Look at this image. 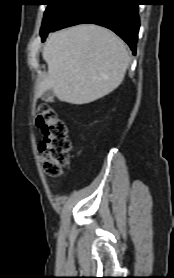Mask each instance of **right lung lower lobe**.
Masks as SVG:
<instances>
[{
    "mask_svg": "<svg viewBox=\"0 0 174 278\" xmlns=\"http://www.w3.org/2000/svg\"><path fill=\"white\" fill-rule=\"evenodd\" d=\"M138 1L76 0L52 28L41 33L42 41L51 31L80 23H93L113 30L135 54L139 32Z\"/></svg>",
    "mask_w": 174,
    "mask_h": 278,
    "instance_id": "right-lung-lower-lobe-1",
    "label": "right lung lower lobe"
}]
</instances>
